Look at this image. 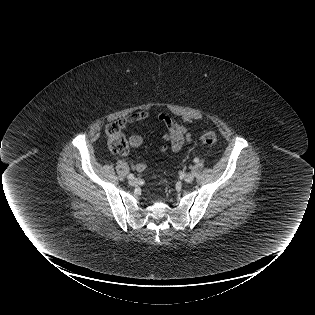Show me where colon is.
<instances>
[{
	"label": "colon",
	"mask_w": 315,
	"mask_h": 315,
	"mask_svg": "<svg viewBox=\"0 0 315 315\" xmlns=\"http://www.w3.org/2000/svg\"><path fill=\"white\" fill-rule=\"evenodd\" d=\"M121 122H113L107 125L106 135L110 150L118 155H125L129 150L128 141L122 131ZM201 141L208 145H213L217 142L218 137L214 131H207L200 137Z\"/></svg>",
	"instance_id": "1"
}]
</instances>
